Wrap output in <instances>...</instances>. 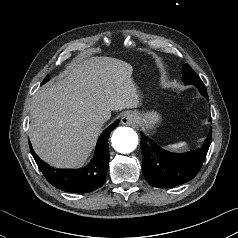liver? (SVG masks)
<instances>
[{"instance_id": "obj_1", "label": "liver", "mask_w": 238, "mask_h": 238, "mask_svg": "<svg viewBox=\"0 0 238 238\" xmlns=\"http://www.w3.org/2000/svg\"><path fill=\"white\" fill-rule=\"evenodd\" d=\"M132 73L125 61L91 57L73 63L54 84L41 87L30 106L29 138L37 155L57 168L81 166L99 134L97 119L141 105Z\"/></svg>"}]
</instances>
